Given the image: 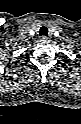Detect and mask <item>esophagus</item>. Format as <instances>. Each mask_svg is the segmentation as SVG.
Segmentation results:
<instances>
[{
	"label": "esophagus",
	"instance_id": "esophagus-1",
	"mask_svg": "<svg viewBox=\"0 0 81 124\" xmlns=\"http://www.w3.org/2000/svg\"><path fill=\"white\" fill-rule=\"evenodd\" d=\"M51 40V36H42L41 41L48 42Z\"/></svg>",
	"mask_w": 81,
	"mask_h": 124
}]
</instances>
